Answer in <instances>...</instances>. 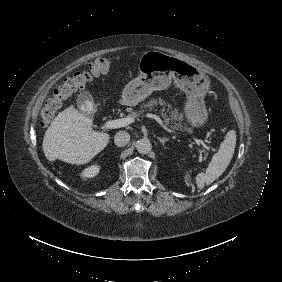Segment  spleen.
<instances>
[{
	"instance_id": "1",
	"label": "spleen",
	"mask_w": 282,
	"mask_h": 282,
	"mask_svg": "<svg viewBox=\"0 0 282 282\" xmlns=\"http://www.w3.org/2000/svg\"><path fill=\"white\" fill-rule=\"evenodd\" d=\"M235 146L236 132L235 130H230L226 134L224 141L221 143L218 152L213 155L212 160L206 169V173L197 174L196 184L199 189L204 188L205 184H211L224 173L233 157ZM185 181L187 184L190 183L191 178L189 175L185 176Z\"/></svg>"
}]
</instances>
